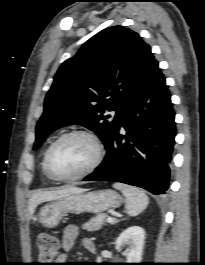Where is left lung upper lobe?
<instances>
[{"label": "left lung upper lobe", "mask_w": 205, "mask_h": 265, "mask_svg": "<svg viewBox=\"0 0 205 265\" xmlns=\"http://www.w3.org/2000/svg\"><path fill=\"white\" fill-rule=\"evenodd\" d=\"M157 63L136 32L113 26L97 33L58 69L36 126L33 149L49 133L69 124L96 132L107 147L121 110ZM114 110V118L104 115Z\"/></svg>", "instance_id": "left-lung-upper-lobe-1"}]
</instances>
